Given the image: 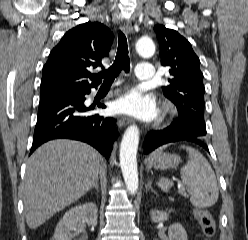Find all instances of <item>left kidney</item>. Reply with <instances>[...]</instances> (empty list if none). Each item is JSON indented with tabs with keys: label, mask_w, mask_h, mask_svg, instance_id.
I'll return each mask as SVG.
<instances>
[{
	"label": "left kidney",
	"mask_w": 248,
	"mask_h": 240,
	"mask_svg": "<svg viewBox=\"0 0 248 240\" xmlns=\"http://www.w3.org/2000/svg\"><path fill=\"white\" fill-rule=\"evenodd\" d=\"M151 219L154 222L165 221L168 219V214L163 211L152 210ZM167 240H187V233L184 227L179 223L172 224L168 229Z\"/></svg>",
	"instance_id": "1"
}]
</instances>
